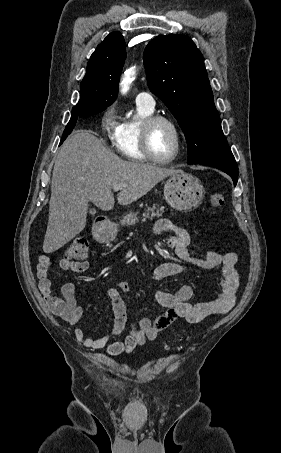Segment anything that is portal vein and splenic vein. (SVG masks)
<instances>
[{"label": "portal vein and splenic vein", "instance_id": "18ae733b", "mask_svg": "<svg viewBox=\"0 0 281 453\" xmlns=\"http://www.w3.org/2000/svg\"><path fill=\"white\" fill-rule=\"evenodd\" d=\"M122 188V184H114L113 190H120Z\"/></svg>", "mask_w": 281, "mask_h": 453}]
</instances>
